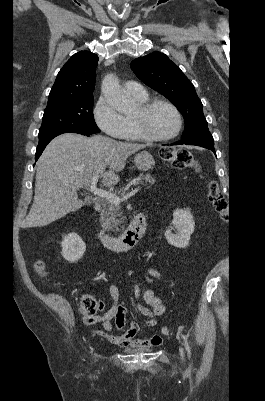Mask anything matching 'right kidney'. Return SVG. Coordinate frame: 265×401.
I'll return each instance as SVG.
<instances>
[{
  "label": "right kidney",
  "mask_w": 265,
  "mask_h": 401,
  "mask_svg": "<svg viewBox=\"0 0 265 401\" xmlns=\"http://www.w3.org/2000/svg\"><path fill=\"white\" fill-rule=\"evenodd\" d=\"M61 247V255L66 261H69V263H76V261H79L86 251V245L77 233H69V235H66L61 243Z\"/></svg>",
  "instance_id": "right-kidney-1"
}]
</instances>
